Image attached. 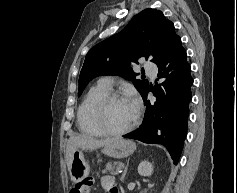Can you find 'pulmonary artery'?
<instances>
[{
	"instance_id": "obj_1",
	"label": "pulmonary artery",
	"mask_w": 237,
	"mask_h": 193,
	"mask_svg": "<svg viewBox=\"0 0 237 193\" xmlns=\"http://www.w3.org/2000/svg\"><path fill=\"white\" fill-rule=\"evenodd\" d=\"M144 68H145V71H146L148 74L152 75V76H154V75L157 73V70H158V69H157V66H156L155 64L151 63V62H147V63L145 64ZM100 83L103 84V85H105V86H107V87H109V88H110V87L112 86V84H113L111 78H109V77H104V78H102L101 81H100Z\"/></svg>"
}]
</instances>
